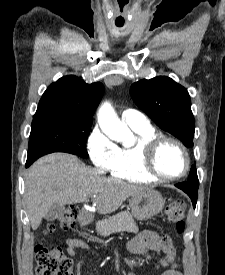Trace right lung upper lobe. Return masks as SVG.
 Segmentation results:
<instances>
[{
	"mask_svg": "<svg viewBox=\"0 0 225 275\" xmlns=\"http://www.w3.org/2000/svg\"><path fill=\"white\" fill-rule=\"evenodd\" d=\"M100 82L86 84L76 76H64L44 92L33 119L67 117L92 120L102 99Z\"/></svg>",
	"mask_w": 225,
	"mask_h": 275,
	"instance_id": "1",
	"label": "right lung upper lobe"
}]
</instances>
